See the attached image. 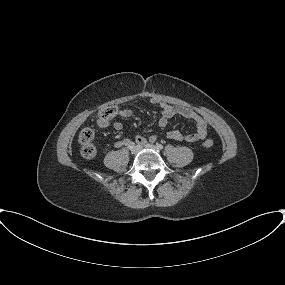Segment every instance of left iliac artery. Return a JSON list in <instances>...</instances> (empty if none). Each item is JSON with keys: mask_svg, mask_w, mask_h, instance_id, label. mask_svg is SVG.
Wrapping results in <instances>:
<instances>
[{"mask_svg": "<svg viewBox=\"0 0 285 285\" xmlns=\"http://www.w3.org/2000/svg\"><path fill=\"white\" fill-rule=\"evenodd\" d=\"M157 148H158L159 150H162V149H163V145H162V144H157Z\"/></svg>", "mask_w": 285, "mask_h": 285, "instance_id": "44dca946", "label": "left iliac artery"}]
</instances>
